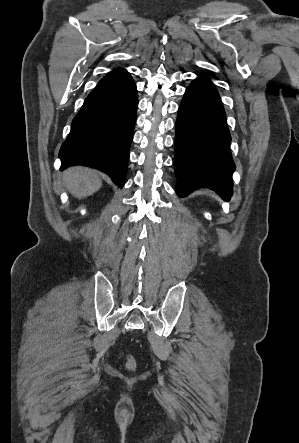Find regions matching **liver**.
I'll use <instances>...</instances> for the list:
<instances>
[{
    "label": "liver",
    "mask_w": 299,
    "mask_h": 443,
    "mask_svg": "<svg viewBox=\"0 0 299 443\" xmlns=\"http://www.w3.org/2000/svg\"><path fill=\"white\" fill-rule=\"evenodd\" d=\"M62 180L70 194L78 199L94 194L102 186L98 172L83 166L67 168L62 174Z\"/></svg>",
    "instance_id": "1"
}]
</instances>
